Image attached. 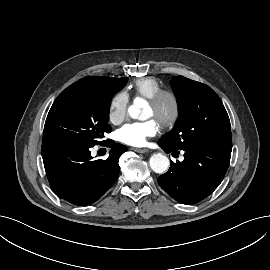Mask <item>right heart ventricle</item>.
Returning <instances> with one entry per match:
<instances>
[{
    "label": "right heart ventricle",
    "instance_id": "e07e8e85",
    "mask_svg": "<svg viewBox=\"0 0 270 270\" xmlns=\"http://www.w3.org/2000/svg\"><path fill=\"white\" fill-rule=\"evenodd\" d=\"M129 89L135 96L150 98L155 93L163 89V84L155 77H140L135 79Z\"/></svg>",
    "mask_w": 270,
    "mask_h": 270
}]
</instances>
